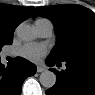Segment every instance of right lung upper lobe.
Segmentation results:
<instances>
[{
  "label": "right lung upper lobe",
  "instance_id": "right-lung-upper-lobe-1",
  "mask_svg": "<svg viewBox=\"0 0 95 95\" xmlns=\"http://www.w3.org/2000/svg\"><path fill=\"white\" fill-rule=\"evenodd\" d=\"M34 7L0 4V41H10L16 26L29 18Z\"/></svg>",
  "mask_w": 95,
  "mask_h": 95
}]
</instances>
